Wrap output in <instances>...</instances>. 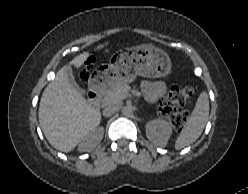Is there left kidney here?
Listing matches in <instances>:
<instances>
[{
    "instance_id": "1",
    "label": "left kidney",
    "mask_w": 248,
    "mask_h": 194,
    "mask_svg": "<svg viewBox=\"0 0 248 194\" xmlns=\"http://www.w3.org/2000/svg\"><path fill=\"white\" fill-rule=\"evenodd\" d=\"M171 133L172 126L165 120L156 119L146 124V136L156 146L165 147Z\"/></svg>"
}]
</instances>
